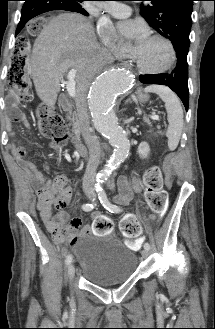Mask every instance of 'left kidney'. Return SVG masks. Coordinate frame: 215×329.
<instances>
[{
    "label": "left kidney",
    "mask_w": 215,
    "mask_h": 329,
    "mask_svg": "<svg viewBox=\"0 0 215 329\" xmlns=\"http://www.w3.org/2000/svg\"><path fill=\"white\" fill-rule=\"evenodd\" d=\"M150 148L147 142H142L140 143L138 147V154L142 158H146L147 155L149 154Z\"/></svg>",
    "instance_id": "1"
}]
</instances>
